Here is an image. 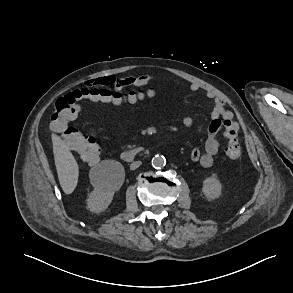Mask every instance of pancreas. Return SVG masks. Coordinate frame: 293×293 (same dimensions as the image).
I'll list each match as a JSON object with an SVG mask.
<instances>
[{
  "label": "pancreas",
  "instance_id": "obj_1",
  "mask_svg": "<svg viewBox=\"0 0 293 293\" xmlns=\"http://www.w3.org/2000/svg\"><path fill=\"white\" fill-rule=\"evenodd\" d=\"M128 147H129V148H132V146H131V145H128Z\"/></svg>",
  "mask_w": 293,
  "mask_h": 293
}]
</instances>
